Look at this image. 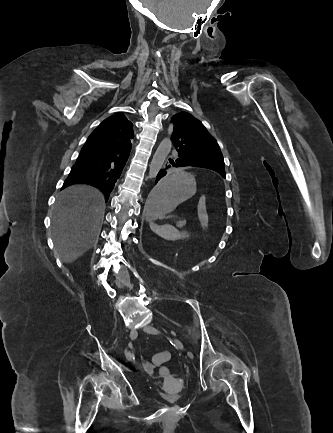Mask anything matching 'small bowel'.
Listing matches in <instances>:
<instances>
[{
    "label": "small bowel",
    "instance_id": "obj_1",
    "mask_svg": "<svg viewBox=\"0 0 333 433\" xmlns=\"http://www.w3.org/2000/svg\"><path fill=\"white\" fill-rule=\"evenodd\" d=\"M144 366H145V368H146L149 372H152V371H153V368L150 366V364L145 363Z\"/></svg>",
    "mask_w": 333,
    "mask_h": 433
}]
</instances>
